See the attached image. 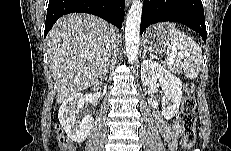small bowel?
<instances>
[{"label":"small bowel","instance_id":"c3829d8e","mask_svg":"<svg viewBox=\"0 0 231 151\" xmlns=\"http://www.w3.org/2000/svg\"><path fill=\"white\" fill-rule=\"evenodd\" d=\"M155 117L157 119L162 137L168 143L169 149L173 151L176 148L177 139L181 133V127L175 122L169 124L164 121L160 112H156Z\"/></svg>","mask_w":231,"mask_h":151}]
</instances>
